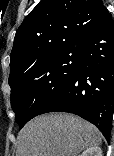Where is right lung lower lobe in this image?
<instances>
[{"label":"right lung lower lobe","instance_id":"right-lung-lower-lobe-1","mask_svg":"<svg viewBox=\"0 0 114 156\" xmlns=\"http://www.w3.org/2000/svg\"><path fill=\"white\" fill-rule=\"evenodd\" d=\"M78 46L82 58L75 75L40 114H76L94 124L108 141L114 111V21L109 12Z\"/></svg>","mask_w":114,"mask_h":156}]
</instances>
